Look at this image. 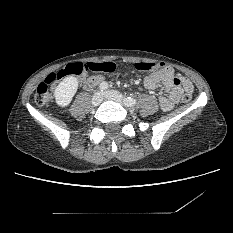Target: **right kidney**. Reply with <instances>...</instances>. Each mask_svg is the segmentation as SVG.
Wrapping results in <instances>:
<instances>
[{
  "instance_id": "right-kidney-1",
  "label": "right kidney",
  "mask_w": 233,
  "mask_h": 233,
  "mask_svg": "<svg viewBox=\"0 0 233 233\" xmlns=\"http://www.w3.org/2000/svg\"><path fill=\"white\" fill-rule=\"evenodd\" d=\"M78 89V79L74 76L65 77L54 91L55 100L58 106L66 107L72 101Z\"/></svg>"
}]
</instances>
